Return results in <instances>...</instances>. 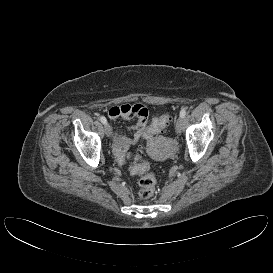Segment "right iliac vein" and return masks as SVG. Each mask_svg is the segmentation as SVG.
<instances>
[{"instance_id":"1","label":"right iliac vein","mask_w":273,"mask_h":273,"mask_svg":"<svg viewBox=\"0 0 273 273\" xmlns=\"http://www.w3.org/2000/svg\"><path fill=\"white\" fill-rule=\"evenodd\" d=\"M104 130H105L106 136L110 137L112 132H111V126L108 123L105 124Z\"/></svg>"}]
</instances>
